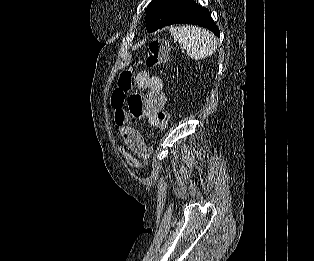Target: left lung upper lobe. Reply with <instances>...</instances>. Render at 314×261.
Listing matches in <instances>:
<instances>
[{
	"mask_svg": "<svg viewBox=\"0 0 314 261\" xmlns=\"http://www.w3.org/2000/svg\"><path fill=\"white\" fill-rule=\"evenodd\" d=\"M184 0H152L146 9L148 32L164 27L176 14Z\"/></svg>",
	"mask_w": 314,
	"mask_h": 261,
	"instance_id": "left-lung-upper-lobe-1",
	"label": "left lung upper lobe"
}]
</instances>
